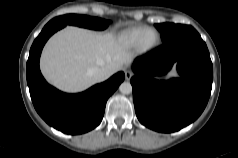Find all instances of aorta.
Returning a JSON list of instances; mask_svg holds the SVG:
<instances>
[{
    "label": "aorta",
    "mask_w": 238,
    "mask_h": 158,
    "mask_svg": "<svg viewBox=\"0 0 238 158\" xmlns=\"http://www.w3.org/2000/svg\"><path fill=\"white\" fill-rule=\"evenodd\" d=\"M119 90L122 94H130L132 92V85L129 82H123L119 86Z\"/></svg>",
    "instance_id": "aorta-1"
}]
</instances>
